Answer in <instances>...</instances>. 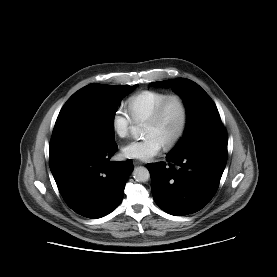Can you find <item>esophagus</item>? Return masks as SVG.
<instances>
[{
  "label": "esophagus",
  "mask_w": 277,
  "mask_h": 277,
  "mask_svg": "<svg viewBox=\"0 0 277 277\" xmlns=\"http://www.w3.org/2000/svg\"><path fill=\"white\" fill-rule=\"evenodd\" d=\"M134 165H141V164H143L141 161H139V160H135L134 162Z\"/></svg>",
  "instance_id": "obj_1"
}]
</instances>
